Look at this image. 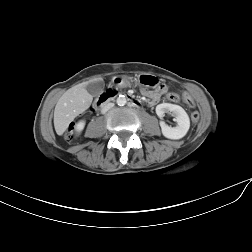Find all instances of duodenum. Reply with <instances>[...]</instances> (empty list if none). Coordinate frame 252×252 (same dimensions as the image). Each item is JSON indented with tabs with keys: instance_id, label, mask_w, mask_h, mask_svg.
<instances>
[{
	"instance_id": "duodenum-1",
	"label": "duodenum",
	"mask_w": 252,
	"mask_h": 252,
	"mask_svg": "<svg viewBox=\"0 0 252 252\" xmlns=\"http://www.w3.org/2000/svg\"><path fill=\"white\" fill-rule=\"evenodd\" d=\"M117 94H121L120 92L117 91H113L110 94H103L101 95L97 102H96V108L97 109H102L106 106V104L108 103V101L112 98H114ZM129 102L131 103L132 106L136 107V108H140L141 107V103L139 101H137L136 99L132 98L131 96H128Z\"/></svg>"
}]
</instances>
